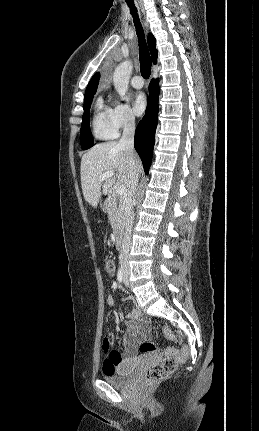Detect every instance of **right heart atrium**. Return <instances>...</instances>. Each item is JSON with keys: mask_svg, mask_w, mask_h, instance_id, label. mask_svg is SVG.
I'll list each match as a JSON object with an SVG mask.
<instances>
[{"mask_svg": "<svg viewBox=\"0 0 259 431\" xmlns=\"http://www.w3.org/2000/svg\"><path fill=\"white\" fill-rule=\"evenodd\" d=\"M110 122L118 133L122 129H128L135 125V116L127 104L115 103L110 108Z\"/></svg>", "mask_w": 259, "mask_h": 431, "instance_id": "1", "label": "right heart atrium"}]
</instances>
